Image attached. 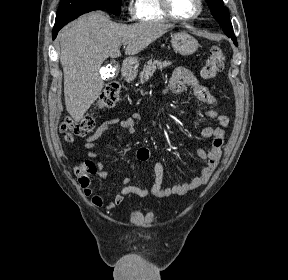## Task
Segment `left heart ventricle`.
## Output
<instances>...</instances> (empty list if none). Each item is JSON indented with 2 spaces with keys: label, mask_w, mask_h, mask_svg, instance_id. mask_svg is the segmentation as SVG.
Segmentation results:
<instances>
[{
  "label": "left heart ventricle",
  "mask_w": 288,
  "mask_h": 280,
  "mask_svg": "<svg viewBox=\"0 0 288 280\" xmlns=\"http://www.w3.org/2000/svg\"><path fill=\"white\" fill-rule=\"evenodd\" d=\"M173 13L181 18L193 15L197 10V0H170Z\"/></svg>",
  "instance_id": "b2bd125f"
}]
</instances>
